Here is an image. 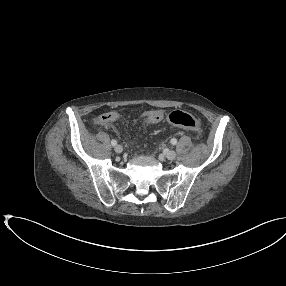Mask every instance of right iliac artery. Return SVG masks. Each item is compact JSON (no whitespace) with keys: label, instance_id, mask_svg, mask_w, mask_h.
<instances>
[{"label":"right iliac artery","instance_id":"1","mask_svg":"<svg viewBox=\"0 0 286 286\" xmlns=\"http://www.w3.org/2000/svg\"><path fill=\"white\" fill-rule=\"evenodd\" d=\"M111 144H112V146H116V145H117V141L113 139V140L111 141Z\"/></svg>","mask_w":286,"mask_h":286}]
</instances>
